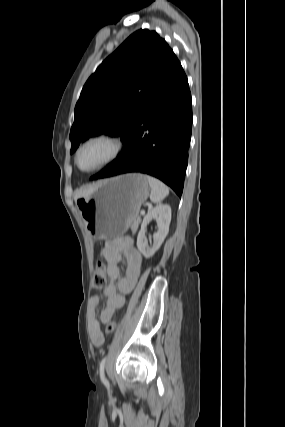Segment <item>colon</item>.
Instances as JSON below:
<instances>
[{"label": "colon", "mask_w": 285, "mask_h": 427, "mask_svg": "<svg viewBox=\"0 0 285 427\" xmlns=\"http://www.w3.org/2000/svg\"><path fill=\"white\" fill-rule=\"evenodd\" d=\"M106 266L103 261H99L96 270L94 272L93 278H92V288L93 289H101L104 287L106 283ZM116 323L114 321L109 322L106 325V332L112 333L115 330Z\"/></svg>", "instance_id": "obj_1"}]
</instances>
